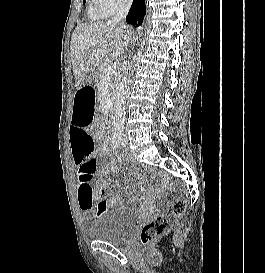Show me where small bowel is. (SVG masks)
<instances>
[{
  "label": "small bowel",
  "mask_w": 265,
  "mask_h": 273,
  "mask_svg": "<svg viewBox=\"0 0 265 273\" xmlns=\"http://www.w3.org/2000/svg\"><path fill=\"white\" fill-rule=\"evenodd\" d=\"M95 91H78L75 95L72 125L70 128V143L73 163L76 167V190L79 208L86 220H93L102 211L115 203H121L120 197L107 198L106 177L109 174L117 175L119 167L114 164L96 169V154L107 155L105 147L98 151L87 132L89 123L93 122ZM97 179V182H96ZM91 182H96L93 187ZM95 202L97 205L95 206Z\"/></svg>",
  "instance_id": "obj_1"
}]
</instances>
